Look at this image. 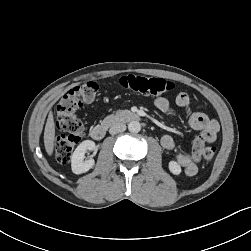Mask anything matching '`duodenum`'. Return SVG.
Listing matches in <instances>:
<instances>
[{
  "mask_svg": "<svg viewBox=\"0 0 251 251\" xmlns=\"http://www.w3.org/2000/svg\"><path fill=\"white\" fill-rule=\"evenodd\" d=\"M139 115L135 112L123 110L116 114L114 117L110 118L107 123L96 125L91 129V137L94 140H101L105 137L106 131L109 126L114 125L119 122H130L139 120Z\"/></svg>",
  "mask_w": 251,
  "mask_h": 251,
  "instance_id": "1",
  "label": "duodenum"
}]
</instances>
